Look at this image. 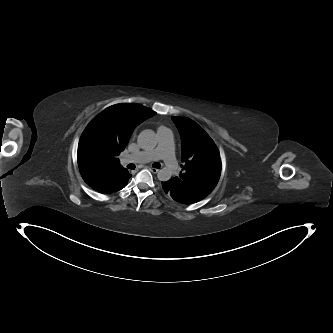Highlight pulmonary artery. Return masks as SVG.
Segmentation results:
<instances>
[{
    "label": "pulmonary artery",
    "instance_id": "pulmonary-artery-1",
    "mask_svg": "<svg viewBox=\"0 0 333 333\" xmlns=\"http://www.w3.org/2000/svg\"><path fill=\"white\" fill-rule=\"evenodd\" d=\"M159 143L153 150L141 151L129 155L122 159L123 164L128 163H148L154 160L161 159L164 161L165 167L170 172L176 169V163L173 150V134L168 128H161L157 131Z\"/></svg>",
    "mask_w": 333,
    "mask_h": 333
}]
</instances>
